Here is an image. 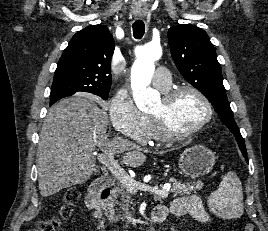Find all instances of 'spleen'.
Listing matches in <instances>:
<instances>
[{
  "label": "spleen",
  "mask_w": 268,
  "mask_h": 231,
  "mask_svg": "<svg viewBox=\"0 0 268 231\" xmlns=\"http://www.w3.org/2000/svg\"><path fill=\"white\" fill-rule=\"evenodd\" d=\"M208 206L219 218L235 219L242 216V183L234 172H228L223 177L219 188L210 194Z\"/></svg>",
  "instance_id": "obj_1"
}]
</instances>
